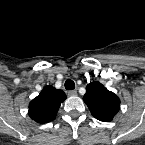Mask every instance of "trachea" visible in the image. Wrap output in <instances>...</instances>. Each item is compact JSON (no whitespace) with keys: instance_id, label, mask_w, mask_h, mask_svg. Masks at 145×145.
<instances>
[{"instance_id":"obj_1","label":"trachea","mask_w":145,"mask_h":145,"mask_svg":"<svg viewBox=\"0 0 145 145\" xmlns=\"http://www.w3.org/2000/svg\"><path fill=\"white\" fill-rule=\"evenodd\" d=\"M65 88L66 90H73L75 89V83L71 79H67L65 81Z\"/></svg>"}]
</instances>
